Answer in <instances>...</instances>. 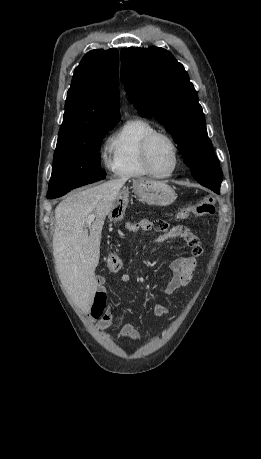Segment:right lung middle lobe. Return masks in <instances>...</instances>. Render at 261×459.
Wrapping results in <instances>:
<instances>
[{"mask_svg": "<svg viewBox=\"0 0 261 459\" xmlns=\"http://www.w3.org/2000/svg\"><path fill=\"white\" fill-rule=\"evenodd\" d=\"M116 123L100 124L57 141L48 199L58 198L70 190L102 180L100 143Z\"/></svg>", "mask_w": 261, "mask_h": 459, "instance_id": "right-lung-middle-lobe-1", "label": "right lung middle lobe"}]
</instances>
